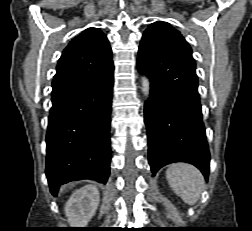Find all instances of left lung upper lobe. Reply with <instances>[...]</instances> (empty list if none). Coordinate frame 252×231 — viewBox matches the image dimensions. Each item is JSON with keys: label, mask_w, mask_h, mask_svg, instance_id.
I'll return each instance as SVG.
<instances>
[{"label": "left lung upper lobe", "mask_w": 252, "mask_h": 231, "mask_svg": "<svg viewBox=\"0 0 252 231\" xmlns=\"http://www.w3.org/2000/svg\"><path fill=\"white\" fill-rule=\"evenodd\" d=\"M172 47L192 55V50L181 33L169 23L157 21L149 25L142 36L140 46Z\"/></svg>", "instance_id": "1"}]
</instances>
